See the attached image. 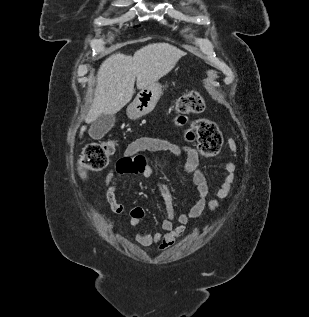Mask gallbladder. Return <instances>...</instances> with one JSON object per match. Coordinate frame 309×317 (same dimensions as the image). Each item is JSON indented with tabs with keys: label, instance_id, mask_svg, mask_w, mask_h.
I'll use <instances>...</instances> for the list:
<instances>
[{
	"label": "gallbladder",
	"instance_id": "bac80fb5",
	"mask_svg": "<svg viewBox=\"0 0 309 317\" xmlns=\"http://www.w3.org/2000/svg\"><path fill=\"white\" fill-rule=\"evenodd\" d=\"M114 115L101 114L92 123L89 129V135L92 139L98 140L104 137L115 124Z\"/></svg>",
	"mask_w": 309,
	"mask_h": 317
}]
</instances>
